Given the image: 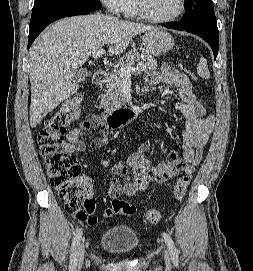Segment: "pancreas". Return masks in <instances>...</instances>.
<instances>
[{
    "instance_id": "1",
    "label": "pancreas",
    "mask_w": 253,
    "mask_h": 271,
    "mask_svg": "<svg viewBox=\"0 0 253 271\" xmlns=\"http://www.w3.org/2000/svg\"><path fill=\"white\" fill-rule=\"evenodd\" d=\"M135 62L144 65V71L154 70L158 67L156 60L147 51L143 50L139 54L137 50L130 51L123 57L117 67H131ZM106 91L100 96V106L106 110H113L125 103L123 95V78L119 70H114L108 74L105 80Z\"/></svg>"
}]
</instances>
